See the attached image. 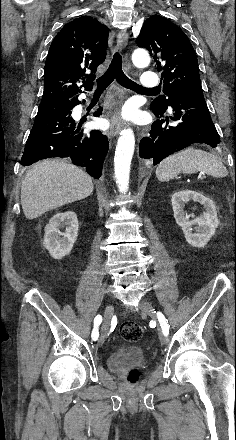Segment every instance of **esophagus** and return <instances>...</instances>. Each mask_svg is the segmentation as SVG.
Returning <instances> with one entry per match:
<instances>
[{
	"label": "esophagus",
	"mask_w": 236,
	"mask_h": 440,
	"mask_svg": "<svg viewBox=\"0 0 236 440\" xmlns=\"http://www.w3.org/2000/svg\"><path fill=\"white\" fill-rule=\"evenodd\" d=\"M127 40H128V35L126 32V29L119 30V32L117 34V48L119 50H122L126 46ZM122 126H123V121L119 115V110L116 109L113 112L111 119H110V133H111V135L112 136L118 135V133L122 129Z\"/></svg>",
	"instance_id": "esophagus-1"
}]
</instances>
